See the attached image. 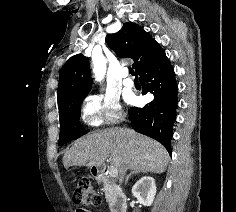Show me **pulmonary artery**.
<instances>
[{
  "mask_svg": "<svg viewBox=\"0 0 236 212\" xmlns=\"http://www.w3.org/2000/svg\"><path fill=\"white\" fill-rule=\"evenodd\" d=\"M122 77H123L122 84L124 87L132 88L134 86V82L132 81V79L128 77V74L126 71L122 72Z\"/></svg>",
  "mask_w": 236,
  "mask_h": 212,
  "instance_id": "pulmonary-artery-1",
  "label": "pulmonary artery"
}]
</instances>
